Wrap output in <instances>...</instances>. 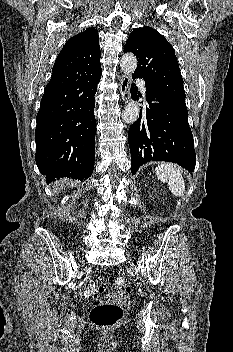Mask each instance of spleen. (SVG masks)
<instances>
[{
  "instance_id": "spleen-1",
  "label": "spleen",
  "mask_w": 233,
  "mask_h": 352,
  "mask_svg": "<svg viewBox=\"0 0 233 352\" xmlns=\"http://www.w3.org/2000/svg\"><path fill=\"white\" fill-rule=\"evenodd\" d=\"M159 180L166 182L173 195L181 197L185 191V182L181 170L172 163H163L155 169Z\"/></svg>"
}]
</instances>
